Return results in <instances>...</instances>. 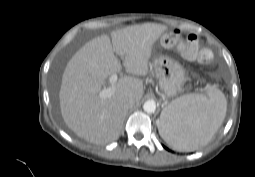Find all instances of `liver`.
<instances>
[{"mask_svg":"<svg viewBox=\"0 0 255 177\" xmlns=\"http://www.w3.org/2000/svg\"><path fill=\"white\" fill-rule=\"evenodd\" d=\"M167 27L156 23L128 26L87 42L68 62L59 91L60 110L66 125L86 141L103 145L119 137L128 109L125 101L138 103L149 72L153 45ZM123 57L126 72L111 97H99L106 79L121 70L115 56ZM162 115V113H161ZM164 115V114H163Z\"/></svg>","mask_w":255,"mask_h":177,"instance_id":"obj_1","label":"liver"}]
</instances>
